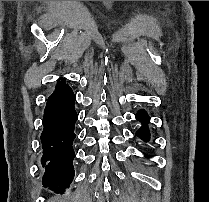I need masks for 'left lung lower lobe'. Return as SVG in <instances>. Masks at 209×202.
I'll use <instances>...</instances> for the list:
<instances>
[{
  "instance_id": "obj_1",
  "label": "left lung lower lobe",
  "mask_w": 209,
  "mask_h": 202,
  "mask_svg": "<svg viewBox=\"0 0 209 202\" xmlns=\"http://www.w3.org/2000/svg\"><path fill=\"white\" fill-rule=\"evenodd\" d=\"M136 119L142 123V127L136 132V136L143 141L148 142L150 140V131L147 126L150 119L148 114L144 110H140L136 114Z\"/></svg>"
}]
</instances>
